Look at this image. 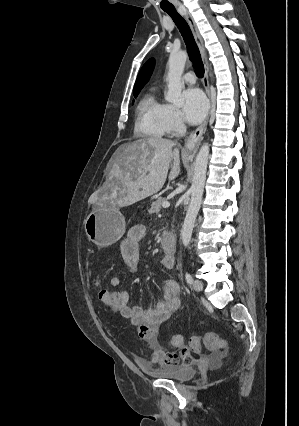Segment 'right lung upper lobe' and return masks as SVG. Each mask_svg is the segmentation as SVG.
<instances>
[{
    "instance_id": "cb5924a9",
    "label": "right lung upper lobe",
    "mask_w": 299,
    "mask_h": 426,
    "mask_svg": "<svg viewBox=\"0 0 299 426\" xmlns=\"http://www.w3.org/2000/svg\"><path fill=\"white\" fill-rule=\"evenodd\" d=\"M155 61L154 59H149L141 68L138 77L136 79L133 92L140 91L146 82L149 80L152 71L154 69Z\"/></svg>"
}]
</instances>
